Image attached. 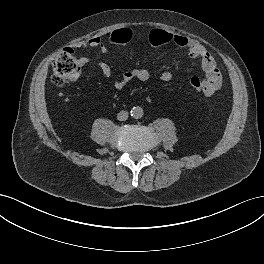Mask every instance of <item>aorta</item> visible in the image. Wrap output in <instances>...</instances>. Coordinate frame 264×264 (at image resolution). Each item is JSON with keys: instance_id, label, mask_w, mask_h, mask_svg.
I'll list each match as a JSON object with an SVG mask.
<instances>
[{"instance_id": "762f6f07", "label": "aorta", "mask_w": 264, "mask_h": 264, "mask_svg": "<svg viewBox=\"0 0 264 264\" xmlns=\"http://www.w3.org/2000/svg\"><path fill=\"white\" fill-rule=\"evenodd\" d=\"M144 111L141 107L137 106V107H133L131 109V116L135 119H139L143 116Z\"/></svg>"}]
</instances>
